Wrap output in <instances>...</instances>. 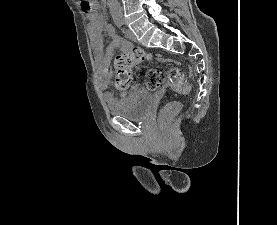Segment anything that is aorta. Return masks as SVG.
<instances>
[{
	"label": "aorta",
	"instance_id": "obj_1",
	"mask_svg": "<svg viewBox=\"0 0 277 225\" xmlns=\"http://www.w3.org/2000/svg\"><path fill=\"white\" fill-rule=\"evenodd\" d=\"M108 2H109V9H110L113 19L115 21L121 19L122 11H121L120 5L118 3V0H108Z\"/></svg>",
	"mask_w": 277,
	"mask_h": 225
}]
</instances>
